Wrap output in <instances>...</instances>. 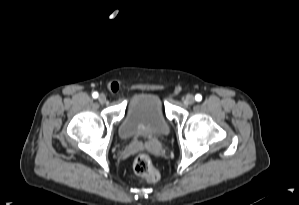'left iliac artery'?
I'll use <instances>...</instances> for the list:
<instances>
[{
  "label": "left iliac artery",
  "instance_id": "1",
  "mask_svg": "<svg viewBox=\"0 0 299 205\" xmlns=\"http://www.w3.org/2000/svg\"><path fill=\"white\" fill-rule=\"evenodd\" d=\"M195 99L199 102L202 100V96L200 94H196Z\"/></svg>",
  "mask_w": 299,
  "mask_h": 205
}]
</instances>
